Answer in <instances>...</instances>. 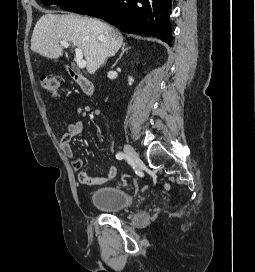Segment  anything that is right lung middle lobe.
Listing matches in <instances>:
<instances>
[{"instance_id": "obj_1", "label": "right lung middle lobe", "mask_w": 255, "mask_h": 272, "mask_svg": "<svg viewBox=\"0 0 255 272\" xmlns=\"http://www.w3.org/2000/svg\"><path fill=\"white\" fill-rule=\"evenodd\" d=\"M45 5L55 4L60 8L78 13L87 14L99 0H41Z\"/></svg>"}]
</instances>
